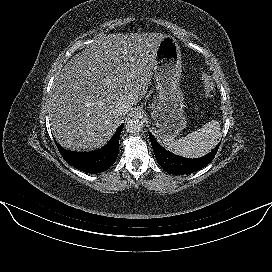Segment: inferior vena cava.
Listing matches in <instances>:
<instances>
[{
  "mask_svg": "<svg viewBox=\"0 0 272 272\" xmlns=\"http://www.w3.org/2000/svg\"><path fill=\"white\" fill-rule=\"evenodd\" d=\"M129 107L126 106L125 104L123 103H118L115 107V112L118 114V115H124L126 113L129 112Z\"/></svg>",
  "mask_w": 272,
  "mask_h": 272,
  "instance_id": "obj_1",
  "label": "inferior vena cava"
}]
</instances>
